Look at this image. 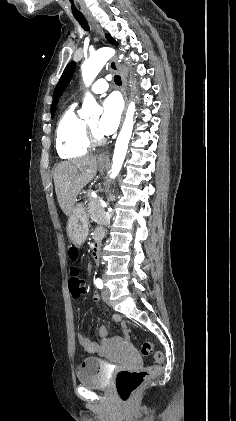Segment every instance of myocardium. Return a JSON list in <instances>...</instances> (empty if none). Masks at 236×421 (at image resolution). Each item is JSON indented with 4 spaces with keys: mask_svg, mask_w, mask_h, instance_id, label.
Returning a JSON list of instances; mask_svg holds the SVG:
<instances>
[{
    "mask_svg": "<svg viewBox=\"0 0 236 421\" xmlns=\"http://www.w3.org/2000/svg\"><path fill=\"white\" fill-rule=\"evenodd\" d=\"M82 130L85 140L89 146H99L105 142V138L100 133L95 132L87 121L83 122Z\"/></svg>",
    "mask_w": 236,
    "mask_h": 421,
    "instance_id": "f54148a6",
    "label": "myocardium"
}]
</instances>
